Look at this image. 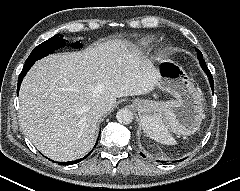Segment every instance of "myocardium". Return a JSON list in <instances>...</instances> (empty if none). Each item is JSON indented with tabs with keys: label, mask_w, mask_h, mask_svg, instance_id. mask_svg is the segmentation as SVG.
<instances>
[{
	"label": "myocardium",
	"mask_w": 240,
	"mask_h": 191,
	"mask_svg": "<svg viewBox=\"0 0 240 191\" xmlns=\"http://www.w3.org/2000/svg\"><path fill=\"white\" fill-rule=\"evenodd\" d=\"M164 52H165V48L164 47L160 48L158 51V56L163 55Z\"/></svg>",
	"instance_id": "f54148a6"
}]
</instances>
